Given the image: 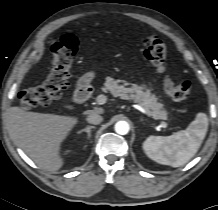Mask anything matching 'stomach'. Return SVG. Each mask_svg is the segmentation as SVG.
I'll use <instances>...</instances> for the list:
<instances>
[{
	"mask_svg": "<svg viewBox=\"0 0 218 210\" xmlns=\"http://www.w3.org/2000/svg\"><path fill=\"white\" fill-rule=\"evenodd\" d=\"M94 76L95 74L93 72H89L83 75L77 82L78 88H84V87L89 86Z\"/></svg>",
	"mask_w": 218,
	"mask_h": 210,
	"instance_id": "1",
	"label": "stomach"
}]
</instances>
